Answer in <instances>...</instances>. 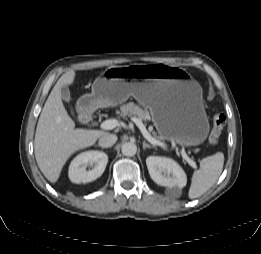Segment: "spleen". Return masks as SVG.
Here are the masks:
<instances>
[{
    "instance_id": "1",
    "label": "spleen",
    "mask_w": 261,
    "mask_h": 254,
    "mask_svg": "<svg viewBox=\"0 0 261 254\" xmlns=\"http://www.w3.org/2000/svg\"><path fill=\"white\" fill-rule=\"evenodd\" d=\"M223 165L224 155L221 152L203 158L200 162V169L193 173L188 192L189 198L195 199L206 193L217 182Z\"/></svg>"
}]
</instances>
